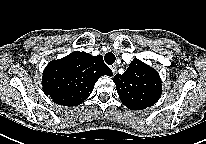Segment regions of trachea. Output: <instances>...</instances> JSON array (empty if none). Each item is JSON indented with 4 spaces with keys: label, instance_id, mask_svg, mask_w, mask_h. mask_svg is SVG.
<instances>
[{
    "label": "trachea",
    "instance_id": "1",
    "mask_svg": "<svg viewBox=\"0 0 206 144\" xmlns=\"http://www.w3.org/2000/svg\"><path fill=\"white\" fill-rule=\"evenodd\" d=\"M104 60L108 65H112L115 62L116 57L113 53L109 52L105 54Z\"/></svg>",
    "mask_w": 206,
    "mask_h": 144
}]
</instances>
